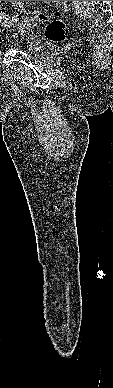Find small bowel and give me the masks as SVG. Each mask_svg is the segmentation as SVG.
I'll return each instance as SVG.
<instances>
[{"label": "small bowel", "mask_w": 113, "mask_h": 388, "mask_svg": "<svg viewBox=\"0 0 113 388\" xmlns=\"http://www.w3.org/2000/svg\"><path fill=\"white\" fill-rule=\"evenodd\" d=\"M13 6H15L16 8H21L22 7V4H21V1H9Z\"/></svg>", "instance_id": "1"}]
</instances>
